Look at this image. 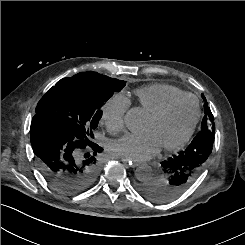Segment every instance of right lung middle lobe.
<instances>
[{
	"mask_svg": "<svg viewBox=\"0 0 245 245\" xmlns=\"http://www.w3.org/2000/svg\"><path fill=\"white\" fill-rule=\"evenodd\" d=\"M125 84L97 72H81L58 81L40 99L35 111L63 125L76 139L92 141L102 106Z\"/></svg>",
	"mask_w": 245,
	"mask_h": 245,
	"instance_id": "dd1d6c3e",
	"label": "right lung middle lobe"
}]
</instances>
